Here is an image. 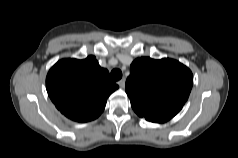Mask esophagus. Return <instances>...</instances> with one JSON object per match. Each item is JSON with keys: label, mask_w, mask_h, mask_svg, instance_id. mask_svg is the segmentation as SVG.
Returning <instances> with one entry per match:
<instances>
[{"label": "esophagus", "mask_w": 238, "mask_h": 158, "mask_svg": "<svg viewBox=\"0 0 238 158\" xmlns=\"http://www.w3.org/2000/svg\"><path fill=\"white\" fill-rule=\"evenodd\" d=\"M125 78H122L121 80H119L117 82V84L119 85L120 88H124L125 87Z\"/></svg>", "instance_id": "1"}]
</instances>
